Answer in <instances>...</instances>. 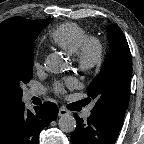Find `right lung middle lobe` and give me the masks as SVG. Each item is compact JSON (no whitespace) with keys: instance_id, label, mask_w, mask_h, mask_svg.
Wrapping results in <instances>:
<instances>
[{"instance_id":"obj_1","label":"right lung middle lobe","mask_w":144,"mask_h":144,"mask_svg":"<svg viewBox=\"0 0 144 144\" xmlns=\"http://www.w3.org/2000/svg\"><path fill=\"white\" fill-rule=\"evenodd\" d=\"M45 25L18 32L15 40L2 53L0 68L8 85L21 99L23 83H28L33 75V50L34 41Z\"/></svg>"}]
</instances>
